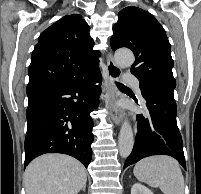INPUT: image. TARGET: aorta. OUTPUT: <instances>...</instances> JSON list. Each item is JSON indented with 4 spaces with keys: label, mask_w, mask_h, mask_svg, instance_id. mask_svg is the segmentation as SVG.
Wrapping results in <instances>:
<instances>
[{
    "label": "aorta",
    "mask_w": 201,
    "mask_h": 194,
    "mask_svg": "<svg viewBox=\"0 0 201 194\" xmlns=\"http://www.w3.org/2000/svg\"><path fill=\"white\" fill-rule=\"evenodd\" d=\"M115 63L119 67H130L134 62V55L128 49H119L114 54ZM134 145V137L131 125L125 121L120 129L118 137L119 153L122 158H127Z\"/></svg>",
    "instance_id": "obj_1"
}]
</instances>
